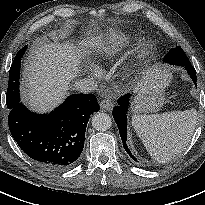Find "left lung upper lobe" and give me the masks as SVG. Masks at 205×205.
<instances>
[{
	"instance_id": "left-lung-upper-lobe-1",
	"label": "left lung upper lobe",
	"mask_w": 205,
	"mask_h": 205,
	"mask_svg": "<svg viewBox=\"0 0 205 205\" xmlns=\"http://www.w3.org/2000/svg\"><path fill=\"white\" fill-rule=\"evenodd\" d=\"M164 62L173 65H190V61L181 47L171 48L164 58Z\"/></svg>"
}]
</instances>
